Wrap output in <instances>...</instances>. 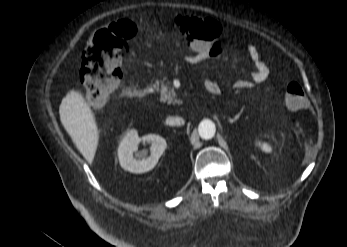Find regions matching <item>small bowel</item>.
I'll use <instances>...</instances> for the list:
<instances>
[{
	"label": "small bowel",
	"instance_id": "1",
	"mask_svg": "<svg viewBox=\"0 0 347 247\" xmlns=\"http://www.w3.org/2000/svg\"><path fill=\"white\" fill-rule=\"evenodd\" d=\"M225 52V43L222 40H215L204 50H194L193 54L184 56V60L191 65H199L211 59H217ZM248 58L255 66V71L249 78L237 79L233 82V87L236 89H247L254 85L263 83L269 76V68L262 60L259 49L254 44L247 46ZM204 85L206 90L211 94H218L220 86L212 79L205 78Z\"/></svg>",
	"mask_w": 347,
	"mask_h": 247
}]
</instances>
